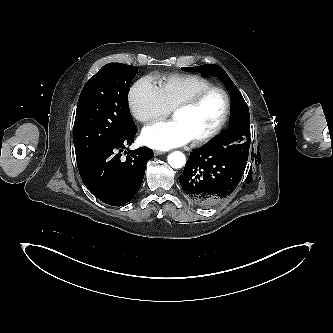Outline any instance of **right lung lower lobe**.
<instances>
[{"label":"right lung lower lobe","instance_id":"1","mask_svg":"<svg viewBox=\"0 0 333 333\" xmlns=\"http://www.w3.org/2000/svg\"><path fill=\"white\" fill-rule=\"evenodd\" d=\"M137 127L123 138L106 144L91 154L77 159L81 179L88 190L102 202L122 206L138 192L146 169L153 157L147 147L128 151L126 160L121 152L133 142ZM126 154V152H124Z\"/></svg>","mask_w":333,"mask_h":333}]
</instances>
